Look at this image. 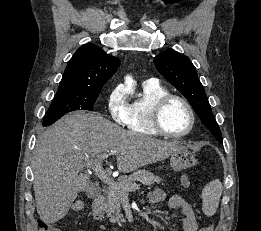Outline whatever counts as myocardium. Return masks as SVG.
Masks as SVG:
<instances>
[{"mask_svg": "<svg viewBox=\"0 0 261 231\" xmlns=\"http://www.w3.org/2000/svg\"><path fill=\"white\" fill-rule=\"evenodd\" d=\"M171 100H179L181 101L184 106L186 107L188 114H189V126L188 128L181 132V133H171L167 131L162 122V114L163 110L166 107V105L171 101ZM151 121L154 129L161 135L171 137V138H182L186 135H188L194 128L195 125V113L193 110L192 105L190 102L184 98L181 95L173 94V93H168L161 97L154 105L153 110H152V116H151Z\"/></svg>", "mask_w": 261, "mask_h": 231, "instance_id": "f54148a6", "label": "myocardium"}]
</instances>
